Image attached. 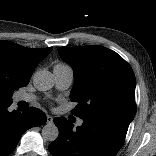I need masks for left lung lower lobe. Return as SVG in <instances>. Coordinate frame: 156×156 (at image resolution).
<instances>
[{"instance_id": "1", "label": "left lung lower lobe", "mask_w": 156, "mask_h": 156, "mask_svg": "<svg viewBox=\"0 0 156 156\" xmlns=\"http://www.w3.org/2000/svg\"><path fill=\"white\" fill-rule=\"evenodd\" d=\"M82 126L64 117L54 119L58 138L49 145L53 156H115L122 147L128 126L113 118L83 119Z\"/></svg>"}]
</instances>
